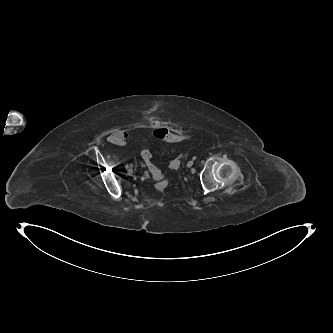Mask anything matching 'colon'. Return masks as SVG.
<instances>
[{"instance_id":"5ec220e1","label":"colon","mask_w":333,"mask_h":333,"mask_svg":"<svg viewBox=\"0 0 333 333\" xmlns=\"http://www.w3.org/2000/svg\"><path fill=\"white\" fill-rule=\"evenodd\" d=\"M154 135L158 140L165 141L168 143L179 142L182 140L190 139L189 134H180L176 132L168 131L167 129H157L154 132ZM141 157L144 160V163L147 168L148 174L156 180L155 188L158 192L164 193L169 188L168 178H164L159 175L157 167L152 163V153L149 150H143Z\"/></svg>"}]
</instances>
